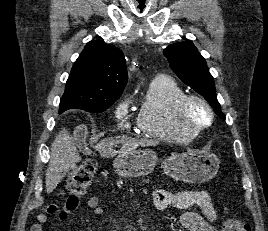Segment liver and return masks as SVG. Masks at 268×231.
<instances>
[{
  "mask_svg": "<svg viewBox=\"0 0 268 231\" xmlns=\"http://www.w3.org/2000/svg\"><path fill=\"white\" fill-rule=\"evenodd\" d=\"M86 135V128H80ZM81 141L77 132L71 136L65 129L60 131L51 145V157L46 170V192L49 194L57 187L70 169L81 161L77 151L78 143ZM122 144L120 152L134 151L137 148L153 146L156 142L148 139H136L127 136H116L101 140L94 148L104 157L114 156L116 151L113 147Z\"/></svg>",
  "mask_w": 268,
  "mask_h": 231,
  "instance_id": "6515ba94",
  "label": "liver"
}]
</instances>
